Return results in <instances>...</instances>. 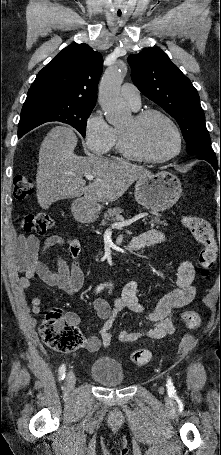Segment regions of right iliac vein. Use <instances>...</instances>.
Here are the masks:
<instances>
[{
    "label": "right iliac vein",
    "instance_id": "63e3f726",
    "mask_svg": "<svg viewBox=\"0 0 221 455\" xmlns=\"http://www.w3.org/2000/svg\"><path fill=\"white\" fill-rule=\"evenodd\" d=\"M76 383V376L74 372L70 371L68 372L66 379H65V389L70 391L74 388Z\"/></svg>",
    "mask_w": 221,
    "mask_h": 455
}]
</instances>
